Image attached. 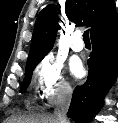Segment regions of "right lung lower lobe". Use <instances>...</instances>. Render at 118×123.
Listing matches in <instances>:
<instances>
[{
	"instance_id": "1",
	"label": "right lung lower lobe",
	"mask_w": 118,
	"mask_h": 123,
	"mask_svg": "<svg viewBox=\"0 0 118 123\" xmlns=\"http://www.w3.org/2000/svg\"><path fill=\"white\" fill-rule=\"evenodd\" d=\"M88 67L87 80L75 88L68 111L77 123L91 120L118 75V26L92 40Z\"/></svg>"
}]
</instances>
